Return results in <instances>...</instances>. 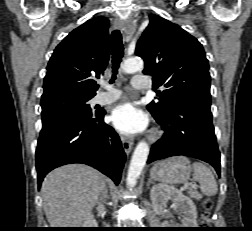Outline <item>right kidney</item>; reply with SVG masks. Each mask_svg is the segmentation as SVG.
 I'll return each instance as SVG.
<instances>
[{
	"mask_svg": "<svg viewBox=\"0 0 252 231\" xmlns=\"http://www.w3.org/2000/svg\"><path fill=\"white\" fill-rule=\"evenodd\" d=\"M83 226L86 228H97V222L95 221V219L93 218V215L91 213H88L86 215Z\"/></svg>",
	"mask_w": 252,
	"mask_h": 231,
	"instance_id": "obj_1",
	"label": "right kidney"
}]
</instances>
